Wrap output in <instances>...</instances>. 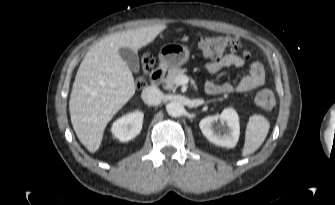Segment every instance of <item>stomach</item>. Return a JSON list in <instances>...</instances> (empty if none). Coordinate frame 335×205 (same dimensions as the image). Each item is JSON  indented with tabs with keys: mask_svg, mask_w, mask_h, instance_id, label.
<instances>
[{
	"mask_svg": "<svg viewBox=\"0 0 335 205\" xmlns=\"http://www.w3.org/2000/svg\"><path fill=\"white\" fill-rule=\"evenodd\" d=\"M189 59V50L186 46L176 43L164 45L159 51L160 62L167 67H178Z\"/></svg>",
	"mask_w": 335,
	"mask_h": 205,
	"instance_id": "obj_1",
	"label": "stomach"
}]
</instances>
